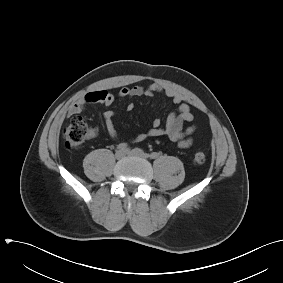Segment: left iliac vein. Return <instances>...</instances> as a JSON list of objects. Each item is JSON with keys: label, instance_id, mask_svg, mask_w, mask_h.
I'll return each instance as SVG.
<instances>
[{"label": "left iliac vein", "instance_id": "left-iliac-vein-1", "mask_svg": "<svg viewBox=\"0 0 283 283\" xmlns=\"http://www.w3.org/2000/svg\"><path fill=\"white\" fill-rule=\"evenodd\" d=\"M127 154L131 155V156L141 157V158H144V159L148 158V155L145 154L144 151L139 149V148H134L131 151H127Z\"/></svg>", "mask_w": 283, "mask_h": 283}]
</instances>
